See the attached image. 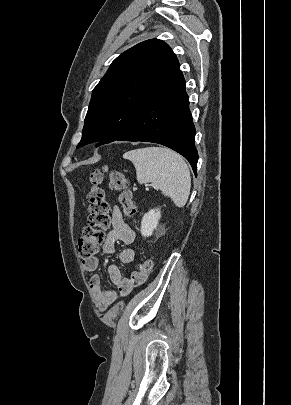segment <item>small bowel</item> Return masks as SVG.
Returning a JSON list of instances; mask_svg holds the SVG:
<instances>
[{"mask_svg":"<svg viewBox=\"0 0 291 405\" xmlns=\"http://www.w3.org/2000/svg\"><path fill=\"white\" fill-rule=\"evenodd\" d=\"M111 229L107 233L105 241L102 244L101 251L104 254H112L117 242L130 245L135 240V232L124 221L121 210L118 206H113L111 211ZM135 252L131 248H125L119 253V259L123 264L133 262ZM83 268L88 272H95L99 261L96 257L83 260ZM108 275L111 282L118 288L121 295H127L136 285L143 281L134 271L129 277H123L117 265L108 267ZM90 289L93 293L95 302L101 311L106 310L116 299L117 294L114 290H104L102 288L101 277L93 274L89 281Z\"/></svg>","mask_w":291,"mask_h":405,"instance_id":"1","label":"small bowel"}]
</instances>
